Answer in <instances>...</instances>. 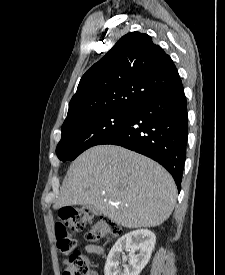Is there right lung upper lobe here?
<instances>
[{
  "instance_id": "1",
  "label": "right lung upper lobe",
  "mask_w": 225,
  "mask_h": 275,
  "mask_svg": "<svg viewBox=\"0 0 225 275\" xmlns=\"http://www.w3.org/2000/svg\"><path fill=\"white\" fill-rule=\"evenodd\" d=\"M181 83L171 57L149 35L130 32L82 76L62 126L97 113L132 110Z\"/></svg>"
}]
</instances>
